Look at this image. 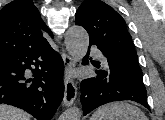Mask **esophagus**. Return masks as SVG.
<instances>
[{
    "label": "esophagus",
    "mask_w": 165,
    "mask_h": 120,
    "mask_svg": "<svg viewBox=\"0 0 165 120\" xmlns=\"http://www.w3.org/2000/svg\"><path fill=\"white\" fill-rule=\"evenodd\" d=\"M62 58H63V62H64L66 70H71L72 68L76 66V61L72 57H70L68 54L63 52ZM76 96H77L76 82L71 78L66 79L63 104L65 106H71L74 103Z\"/></svg>",
    "instance_id": "34e87169"
}]
</instances>
